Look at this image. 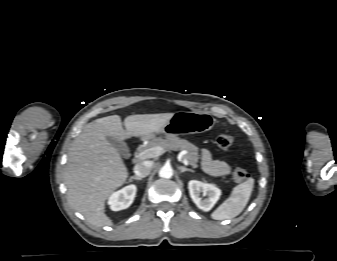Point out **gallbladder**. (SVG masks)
Segmentation results:
<instances>
[{"instance_id": "gallbladder-1", "label": "gallbladder", "mask_w": 337, "mask_h": 261, "mask_svg": "<svg viewBox=\"0 0 337 261\" xmlns=\"http://www.w3.org/2000/svg\"><path fill=\"white\" fill-rule=\"evenodd\" d=\"M107 140L110 142L111 145H113L119 152V154L125 158H127L129 156V148L126 145L125 142L123 141H118L113 137H106Z\"/></svg>"}]
</instances>
